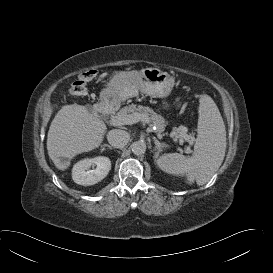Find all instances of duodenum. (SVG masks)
I'll use <instances>...</instances> for the list:
<instances>
[{"label": "duodenum", "instance_id": "1", "mask_svg": "<svg viewBox=\"0 0 273 273\" xmlns=\"http://www.w3.org/2000/svg\"><path fill=\"white\" fill-rule=\"evenodd\" d=\"M97 109H98L100 112H102V113H107V111H108V106L105 105V104H103V103H99V104L97 105Z\"/></svg>", "mask_w": 273, "mask_h": 273}]
</instances>
